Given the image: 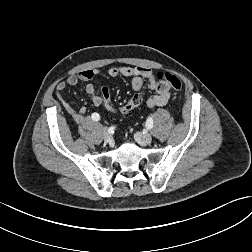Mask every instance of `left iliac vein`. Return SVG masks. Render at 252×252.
<instances>
[{"instance_id":"1","label":"left iliac vein","mask_w":252,"mask_h":252,"mask_svg":"<svg viewBox=\"0 0 252 252\" xmlns=\"http://www.w3.org/2000/svg\"><path fill=\"white\" fill-rule=\"evenodd\" d=\"M135 140L141 145H147L152 142V136L150 134H143L141 132H136L134 134Z\"/></svg>"}]
</instances>
